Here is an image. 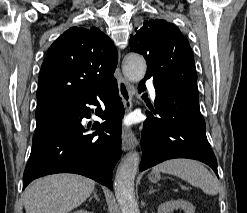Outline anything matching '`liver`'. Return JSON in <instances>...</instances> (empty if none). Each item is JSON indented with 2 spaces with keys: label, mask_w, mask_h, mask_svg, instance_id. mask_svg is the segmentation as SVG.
I'll list each match as a JSON object with an SVG mask.
<instances>
[{
  "label": "liver",
  "mask_w": 247,
  "mask_h": 213,
  "mask_svg": "<svg viewBox=\"0 0 247 213\" xmlns=\"http://www.w3.org/2000/svg\"><path fill=\"white\" fill-rule=\"evenodd\" d=\"M95 182L76 174H54L38 179L24 192L26 213H68L94 191Z\"/></svg>",
  "instance_id": "1"
}]
</instances>
